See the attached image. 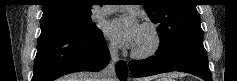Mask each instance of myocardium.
<instances>
[{
  "mask_svg": "<svg viewBox=\"0 0 237 81\" xmlns=\"http://www.w3.org/2000/svg\"><path fill=\"white\" fill-rule=\"evenodd\" d=\"M142 28L146 29L151 35V44L144 51L132 50V57L136 59H147L158 52L161 47L162 39L158 29L151 23L145 22Z\"/></svg>",
  "mask_w": 237,
  "mask_h": 81,
  "instance_id": "1",
  "label": "myocardium"
}]
</instances>
